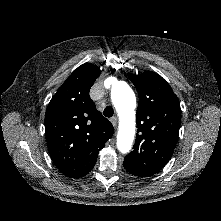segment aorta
Here are the masks:
<instances>
[{"instance_id":"1","label":"aorta","mask_w":221,"mask_h":221,"mask_svg":"<svg viewBox=\"0 0 221 221\" xmlns=\"http://www.w3.org/2000/svg\"><path fill=\"white\" fill-rule=\"evenodd\" d=\"M112 100L121 115L131 113L135 108V94L125 83L118 84L112 92ZM134 138V127L128 131H122L118 138V149L122 153H127L131 149Z\"/></svg>"}]
</instances>
